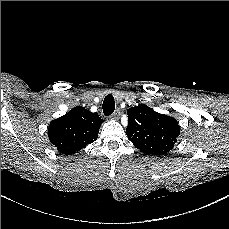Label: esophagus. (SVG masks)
Masks as SVG:
<instances>
[{"mask_svg":"<svg viewBox=\"0 0 229 229\" xmlns=\"http://www.w3.org/2000/svg\"><path fill=\"white\" fill-rule=\"evenodd\" d=\"M121 115V111L119 109L115 110V112L113 113V118L114 119H118L119 116Z\"/></svg>","mask_w":229,"mask_h":229,"instance_id":"esophagus-1","label":"esophagus"}]
</instances>
